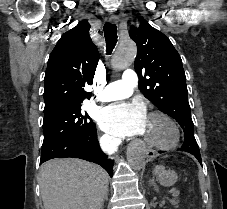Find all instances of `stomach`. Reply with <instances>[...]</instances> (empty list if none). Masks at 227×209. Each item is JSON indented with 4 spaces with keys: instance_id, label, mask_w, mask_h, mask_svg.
Wrapping results in <instances>:
<instances>
[{
    "instance_id": "1",
    "label": "stomach",
    "mask_w": 227,
    "mask_h": 209,
    "mask_svg": "<svg viewBox=\"0 0 227 209\" xmlns=\"http://www.w3.org/2000/svg\"><path fill=\"white\" fill-rule=\"evenodd\" d=\"M155 173L159 177V182L163 186H172L177 180V174L173 170H166L163 166H158Z\"/></svg>"
}]
</instances>
